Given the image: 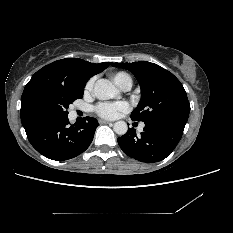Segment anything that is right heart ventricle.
Wrapping results in <instances>:
<instances>
[{"label": "right heart ventricle", "instance_id": "obj_1", "mask_svg": "<svg viewBox=\"0 0 233 233\" xmlns=\"http://www.w3.org/2000/svg\"><path fill=\"white\" fill-rule=\"evenodd\" d=\"M112 77H113L114 82L121 88L127 83H132L130 76L124 72H117L113 74Z\"/></svg>", "mask_w": 233, "mask_h": 233}]
</instances>
